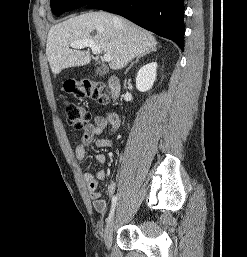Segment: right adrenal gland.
Listing matches in <instances>:
<instances>
[{
	"mask_svg": "<svg viewBox=\"0 0 247 257\" xmlns=\"http://www.w3.org/2000/svg\"><path fill=\"white\" fill-rule=\"evenodd\" d=\"M150 53H151V51H146V52H144V53L138 55V56L136 57L135 61H133V62L130 64V66L126 69L125 74L131 69V67L134 65V63H138L141 58H143L144 56H146V55H148V54H150Z\"/></svg>",
	"mask_w": 247,
	"mask_h": 257,
	"instance_id": "2a0ac1e0",
	"label": "right adrenal gland"
}]
</instances>
